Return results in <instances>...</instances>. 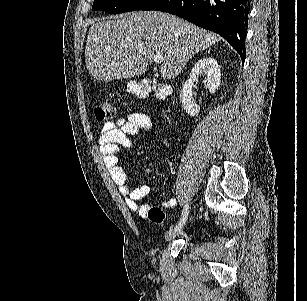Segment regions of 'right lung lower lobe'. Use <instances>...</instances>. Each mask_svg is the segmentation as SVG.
I'll list each match as a JSON object with an SVG mask.
<instances>
[{"instance_id": "right-lung-lower-lobe-1", "label": "right lung lower lobe", "mask_w": 307, "mask_h": 301, "mask_svg": "<svg viewBox=\"0 0 307 301\" xmlns=\"http://www.w3.org/2000/svg\"><path fill=\"white\" fill-rule=\"evenodd\" d=\"M142 10L168 12L218 33L245 60L249 0H153Z\"/></svg>"}]
</instances>
